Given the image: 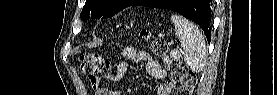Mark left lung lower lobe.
<instances>
[{
    "label": "left lung lower lobe",
    "instance_id": "obj_1",
    "mask_svg": "<svg viewBox=\"0 0 277 95\" xmlns=\"http://www.w3.org/2000/svg\"><path fill=\"white\" fill-rule=\"evenodd\" d=\"M132 6L158 8L159 0H137ZM169 9L195 21L203 29L208 41L211 39V0H177Z\"/></svg>",
    "mask_w": 277,
    "mask_h": 95
}]
</instances>
